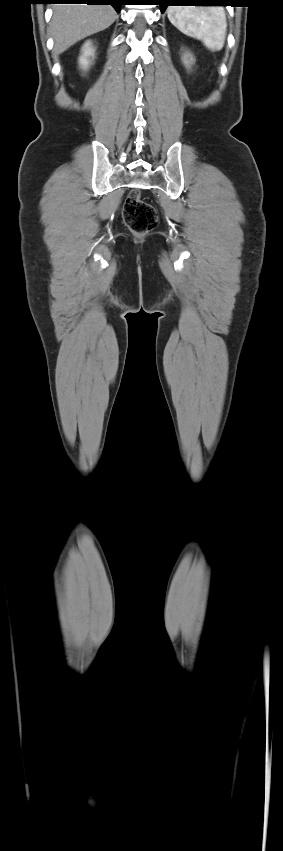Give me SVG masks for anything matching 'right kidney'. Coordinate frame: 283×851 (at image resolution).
<instances>
[{
	"instance_id": "ca27d5eb",
	"label": "right kidney",
	"mask_w": 283,
	"mask_h": 851,
	"mask_svg": "<svg viewBox=\"0 0 283 851\" xmlns=\"http://www.w3.org/2000/svg\"><path fill=\"white\" fill-rule=\"evenodd\" d=\"M83 56L80 58V63L83 68H87L90 64V57H93L94 50L90 47V42H87L83 47Z\"/></svg>"
}]
</instances>
